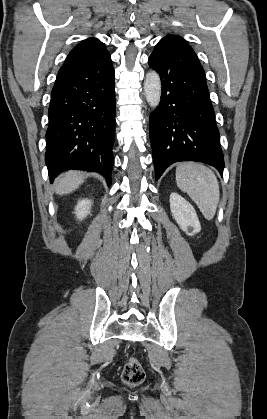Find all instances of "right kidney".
Segmentation results:
<instances>
[{
  "label": "right kidney",
  "instance_id": "1",
  "mask_svg": "<svg viewBox=\"0 0 267 419\" xmlns=\"http://www.w3.org/2000/svg\"><path fill=\"white\" fill-rule=\"evenodd\" d=\"M92 201L88 199L79 200L75 207V215L79 220L84 219L87 215L90 214Z\"/></svg>",
  "mask_w": 267,
  "mask_h": 419
}]
</instances>
